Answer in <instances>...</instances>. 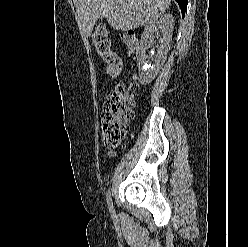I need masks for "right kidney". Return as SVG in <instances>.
<instances>
[{"mask_svg":"<svg viewBox=\"0 0 248 247\" xmlns=\"http://www.w3.org/2000/svg\"><path fill=\"white\" fill-rule=\"evenodd\" d=\"M173 24L171 14L159 15L147 23L136 49L141 84H149L154 80L164 64L171 46ZM156 41L157 53L152 58L154 64L151 65L146 51Z\"/></svg>","mask_w":248,"mask_h":247,"instance_id":"right-kidney-1","label":"right kidney"}]
</instances>
